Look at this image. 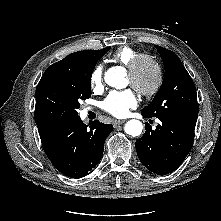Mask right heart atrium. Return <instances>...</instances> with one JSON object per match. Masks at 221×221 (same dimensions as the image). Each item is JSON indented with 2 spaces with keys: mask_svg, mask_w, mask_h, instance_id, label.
Listing matches in <instances>:
<instances>
[{
  "mask_svg": "<svg viewBox=\"0 0 221 221\" xmlns=\"http://www.w3.org/2000/svg\"><path fill=\"white\" fill-rule=\"evenodd\" d=\"M90 85L92 89L98 90L102 87V67L97 65L90 75Z\"/></svg>",
  "mask_w": 221,
  "mask_h": 221,
  "instance_id": "d8ad5b80",
  "label": "right heart atrium"
}]
</instances>
